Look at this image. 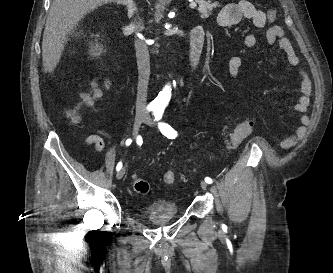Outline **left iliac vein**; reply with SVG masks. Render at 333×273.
<instances>
[{"instance_id": "1", "label": "left iliac vein", "mask_w": 333, "mask_h": 273, "mask_svg": "<svg viewBox=\"0 0 333 273\" xmlns=\"http://www.w3.org/2000/svg\"><path fill=\"white\" fill-rule=\"evenodd\" d=\"M143 122H144L145 124H147V125L155 126V123H154V121L152 120V118L150 117L149 114H145V117H144ZM200 186H201V188H202L203 190H207V188H208L207 183L204 182V181H201V182H200Z\"/></svg>"}]
</instances>
